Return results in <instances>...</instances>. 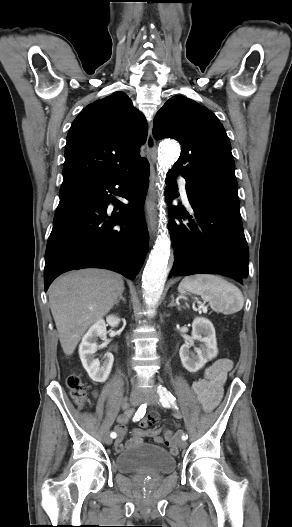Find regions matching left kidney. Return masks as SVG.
Instances as JSON below:
<instances>
[{
	"label": "left kidney",
	"mask_w": 292,
	"mask_h": 527,
	"mask_svg": "<svg viewBox=\"0 0 292 527\" xmlns=\"http://www.w3.org/2000/svg\"><path fill=\"white\" fill-rule=\"evenodd\" d=\"M195 341L201 342L193 353L190 348ZM217 341L215 328L211 321L204 317H196L192 323V336L189 342L183 344L179 354L183 367L189 372H197L217 356Z\"/></svg>",
	"instance_id": "obj_1"
}]
</instances>
